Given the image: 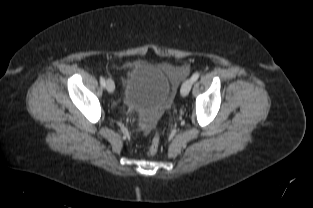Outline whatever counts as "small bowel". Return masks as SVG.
I'll return each instance as SVG.
<instances>
[{
	"label": "small bowel",
	"instance_id": "small-bowel-1",
	"mask_svg": "<svg viewBox=\"0 0 313 208\" xmlns=\"http://www.w3.org/2000/svg\"><path fill=\"white\" fill-rule=\"evenodd\" d=\"M168 73L171 76V78L177 82L178 80H180V78L185 75L188 72V67L184 66L181 68H168Z\"/></svg>",
	"mask_w": 313,
	"mask_h": 208
}]
</instances>
